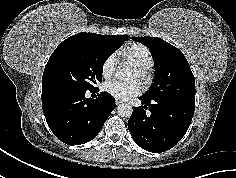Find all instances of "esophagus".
I'll return each instance as SVG.
<instances>
[{
	"label": "esophagus",
	"instance_id": "esophagus-1",
	"mask_svg": "<svg viewBox=\"0 0 236 178\" xmlns=\"http://www.w3.org/2000/svg\"><path fill=\"white\" fill-rule=\"evenodd\" d=\"M116 105H120L122 102L120 100H116Z\"/></svg>",
	"mask_w": 236,
	"mask_h": 178
}]
</instances>
